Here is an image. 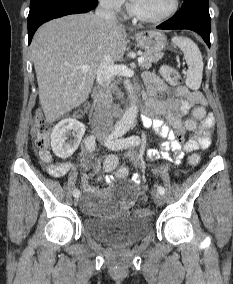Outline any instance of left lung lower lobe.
<instances>
[{
    "mask_svg": "<svg viewBox=\"0 0 233 284\" xmlns=\"http://www.w3.org/2000/svg\"><path fill=\"white\" fill-rule=\"evenodd\" d=\"M157 28L195 31L202 36L210 47L211 18L208 0H185L179 12Z\"/></svg>",
    "mask_w": 233,
    "mask_h": 284,
    "instance_id": "obj_1",
    "label": "left lung lower lobe"
}]
</instances>
